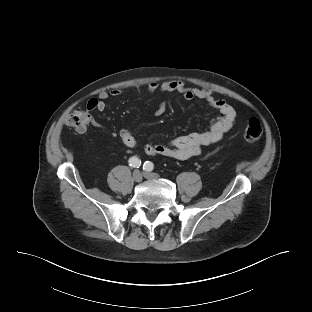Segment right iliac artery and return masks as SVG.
Here are the masks:
<instances>
[{
	"instance_id": "obj_1",
	"label": "right iliac artery",
	"mask_w": 312,
	"mask_h": 312,
	"mask_svg": "<svg viewBox=\"0 0 312 312\" xmlns=\"http://www.w3.org/2000/svg\"><path fill=\"white\" fill-rule=\"evenodd\" d=\"M128 162L129 165L132 167L139 168L141 166V160L138 159L137 157H131Z\"/></svg>"
}]
</instances>
